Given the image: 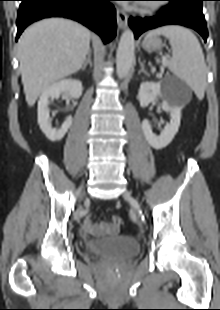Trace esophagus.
I'll return each mask as SVG.
<instances>
[{"label": "esophagus", "mask_w": 220, "mask_h": 310, "mask_svg": "<svg viewBox=\"0 0 220 310\" xmlns=\"http://www.w3.org/2000/svg\"><path fill=\"white\" fill-rule=\"evenodd\" d=\"M117 24L120 29H124L127 26L128 15L121 9H116Z\"/></svg>", "instance_id": "esophagus-1"}]
</instances>
